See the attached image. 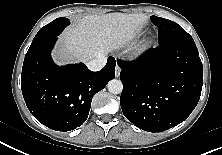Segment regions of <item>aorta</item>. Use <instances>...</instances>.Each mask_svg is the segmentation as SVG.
I'll list each match as a JSON object with an SVG mask.
<instances>
[{"instance_id": "obj_1", "label": "aorta", "mask_w": 222, "mask_h": 155, "mask_svg": "<svg viewBox=\"0 0 222 155\" xmlns=\"http://www.w3.org/2000/svg\"><path fill=\"white\" fill-rule=\"evenodd\" d=\"M108 91L112 94H120L123 89V84L120 80L113 79L110 80L107 84Z\"/></svg>"}]
</instances>
